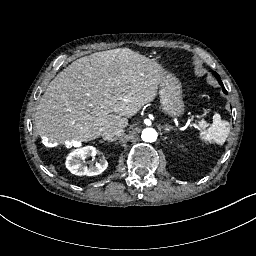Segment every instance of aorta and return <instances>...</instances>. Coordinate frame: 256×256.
Segmentation results:
<instances>
[{"label":"aorta","mask_w":256,"mask_h":256,"mask_svg":"<svg viewBox=\"0 0 256 256\" xmlns=\"http://www.w3.org/2000/svg\"><path fill=\"white\" fill-rule=\"evenodd\" d=\"M145 133V136L143 134ZM145 137V138H144ZM141 138L145 142H155L158 138V133L153 128H146L142 131Z\"/></svg>","instance_id":"aorta-1"}]
</instances>
